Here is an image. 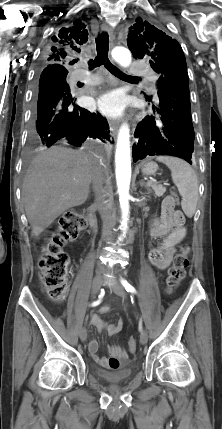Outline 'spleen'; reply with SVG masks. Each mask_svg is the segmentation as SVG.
Wrapping results in <instances>:
<instances>
[{"instance_id":"spleen-1","label":"spleen","mask_w":222,"mask_h":429,"mask_svg":"<svg viewBox=\"0 0 222 429\" xmlns=\"http://www.w3.org/2000/svg\"><path fill=\"white\" fill-rule=\"evenodd\" d=\"M156 160L164 163L171 170L172 181L182 197V210L187 217L191 218L195 213L199 198L195 171L188 163L179 158L157 156Z\"/></svg>"}]
</instances>
